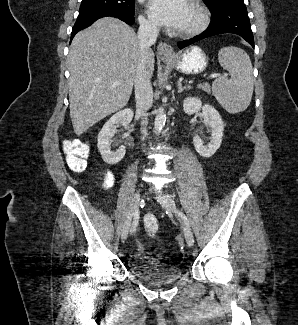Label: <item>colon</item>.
I'll list each match as a JSON object with an SVG mask.
<instances>
[{"mask_svg":"<svg viewBox=\"0 0 298 325\" xmlns=\"http://www.w3.org/2000/svg\"><path fill=\"white\" fill-rule=\"evenodd\" d=\"M89 155V150L85 146H80L79 150H76V152H73L68 157V163L71 170L74 172H82L86 169L87 166V158ZM143 226L145 232L149 236H154L159 229V222L158 219L152 215H146L144 217Z\"/></svg>","mask_w":298,"mask_h":325,"instance_id":"colon-1","label":"colon"}]
</instances>
